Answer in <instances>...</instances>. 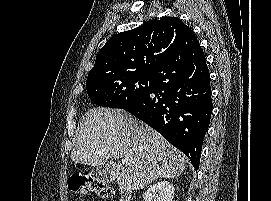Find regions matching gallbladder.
Returning <instances> with one entry per match:
<instances>
[{
	"label": "gallbladder",
	"mask_w": 271,
	"mask_h": 201,
	"mask_svg": "<svg viewBox=\"0 0 271 201\" xmlns=\"http://www.w3.org/2000/svg\"><path fill=\"white\" fill-rule=\"evenodd\" d=\"M115 167L113 162H107L93 170L96 180L110 183L115 178Z\"/></svg>",
	"instance_id": "bac80fb5"
}]
</instances>
